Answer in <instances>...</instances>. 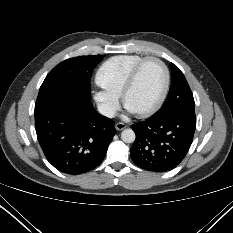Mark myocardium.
<instances>
[{
	"label": "myocardium",
	"instance_id": "obj_1",
	"mask_svg": "<svg viewBox=\"0 0 233 233\" xmlns=\"http://www.w3.org/2000/svg\"><path fill=\"white\" fill-rule=\"evenodd\" d=\"M148 61H155L161 66L163 73H164V86H163L162 92H161L158 100L155 102V104L153 106H151L150 108H148L146 110H143V111L136 113L140 117L150 116V115L156 113L161 108V106L163 105V103L166 100V97H167V94L169 91V86H170V72H169L167 65L158 57H155V56L144 57L142 60H140L133 67V69L131 70V72L126 80V83L122 89L121 98H122L124 105L126 106L127 95L133 89V87L137 81V78H138V75H139L141 68Z\"/></svg>",
	"mask_w": 233,
	"mask_h": 233
}]
</instances>
